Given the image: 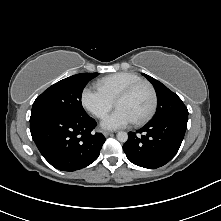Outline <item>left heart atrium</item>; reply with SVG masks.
<instances>
[{"instance_id": "1", "label": "left heart atrium", "mask_w": 221, "mask_h": 221, "mask_svg": "<svg viewBox=\"0 0 221 221\" xmlns=\"http://www.w3.org/2000/svg\"><path fill=\"white\" fill-rule=\"evenodd\" d=\"M133 119L123 109L117 108L113 113L108 115L101 122V126L105 129H119L131 124Z\"/></svg>"}]
</instances>
